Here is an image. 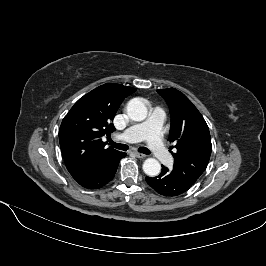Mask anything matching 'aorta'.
<instances>
[{"label": "aorta", "instance_id": "1", "mask_svg": "<svg viewBox=\"0 0 266 266\" xmlns=\"http://www.w3.org/2000/svg\"><path fill=\"white\" fill-rule=\"evenodd\" d=\"M127 114L133 121H143L147 117V107L138 98L131 99L127 103ZM143 171L150 177L157 176L161 172V164L154 158H148L143 163Z\"/></svg>", "mask_w": 266, "mask_h": 266}]
</instances>
